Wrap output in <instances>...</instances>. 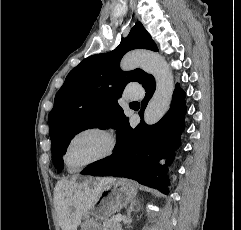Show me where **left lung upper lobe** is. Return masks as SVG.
I'll return each instance as SVG.
<instances>
[{"mask_svg":"<svg viewBox=\"0 0 241 230\" xmlns=\"http://www.w3.org/2000/svg\"><path fill=\"white\" fill-rule=\"evenodd\" d=\"M133 49L158 51L141 22L115 50L84 59L66 77L49 114L52 161L58 172L63 169L62 155L76 134L96 125L118 130L126 118L117 101L125 86L131 81L144 85L151 77L141 69L120 70L121 58Z\"/></svg>","mask_w":241,"mask_h":230,"instance_id":"5c2ea615","label":"left lung upper lobe"}]
</instances>
